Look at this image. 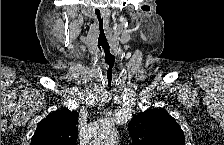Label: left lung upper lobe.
<instances>
[{
  "label": "left lung upper lobe",
  "instance_id": "left-lung-upper-lobe-1",
  "mask_svg": "<svg viewBox=\"0 0 224 145\" xmlns=\"http://www.w3.org/2000/svg\"><path fill=\"white\" fill-rule=\"evenodd\" d=\"M133 145H185L176 120L162 109H149L128 124Z\"/></svg>",
  "mask_w": 224,
  "mask_h": 145
}]
</instances>
